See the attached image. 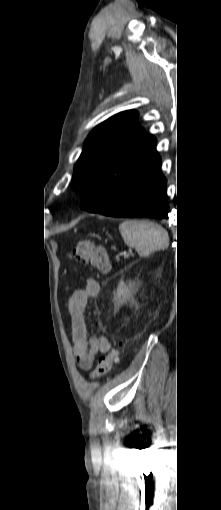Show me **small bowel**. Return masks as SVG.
Listing matches in <instances>:
<instances>
[{
	"label": "small bowel",
	"mask_w": 221,
	"mask_h": 510,
	"mask_svg": "<svg viewBox=\"0 0 221 510\" xmlns=\"http://www.w3.org/2000/svg\"><path fill=\"white\" fill-rule=\"evenodd\" d=\"M99 292V282L94 278H88L82 288L73 292L68 302L74 356L78 366L83 370H89L97 355L106 353L111 348V342L107 337L88 335L86 307L89 298L96 297Z\"/></svg>",
	"instance_id": "c3829d8e"
}]
</instances>
